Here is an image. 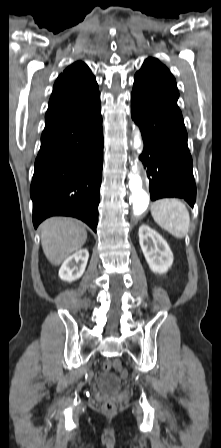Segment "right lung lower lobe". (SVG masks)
I'll return each instance as SVG.
<instances>
[{
	"label": "right lung lower lobe",
	"instance_id": "obj_1",
	"mask_svg": "<svg viewBox=\"0 0 221 448\" xmlns=\"http://www.w3.org/2000/svg\"><path fill=\"white\" fill-rule=\"evenodd\" d=\"M103 164L100 93L45 122L30 187L33 224L72 216L96 232Z\"/></svg>",
	"mask_w": 221,
	"mask_h": 448
}]
</instances>
